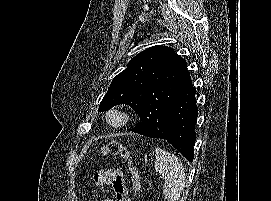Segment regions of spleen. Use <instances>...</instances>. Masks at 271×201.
<instances>
[{"mask_svg": "<svg viewBox=\"0 0 271 201\" xmlns=\"http://www.w3.org/2000/svg\"><path fill=\"white\" fill-rule=\"evenodd\" d=\"M154 168L164 178V198L167 201H178L185 187L186 178L181 160L174 154L156 147Z\"/></svg>", "mask_w": 271, "mask_h": 201, "instance_id": "1", "label": "spleen"}]
</instances>
